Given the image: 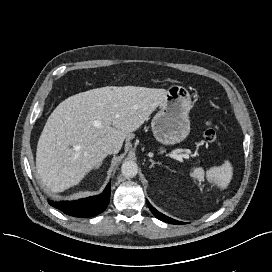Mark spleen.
Listing matches in <instances>:
<instances>
[{"instance_id":"3e777b00","label":"spleen","mask_w":272,"mask_h":272,"mask_svg":"<svg viewBox=\"0 0 272 272\" xmlns=\"http://www.w3.org/2000/svg\"><path fill=\"white\" fill-rule=\"evenodd\" d=\"M204 170L202 168L194 169L191 177L197 180L204 178ZM233 176V167L229 161H225L220 167H212L207 171V178L211 182L217 184L221 189H225L230 183Z\"/></svg>"}]
</instances>
